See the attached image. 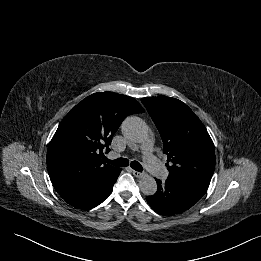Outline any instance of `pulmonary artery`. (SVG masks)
I'll list each match as a JSON object with an SVG mask.
<instances>
[{
    "instance_id": "obj_1",
    "label": "pulmonary artery",
    "mask_w": 261,
    "mask_h": 261,
    "mask_svg": "<svg viewBox=\"0 0 261 261\" xmlns=\"http://www.w3.org/2000/svg\"><path fill=\"white\" fill-rule=\"evenodd\" d=\"M153 142L147 140L142 145L143 160L146 168L157 178L163 179L168 175L167 170L163 167L159 159L155 156Z\"/></svg>"
}]
</instances>
